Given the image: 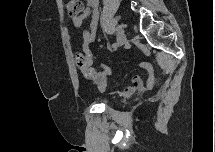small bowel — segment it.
Listing matches in <instances>:
<instances>
[{
  "mask_svg": "<svg viewBox=\"0 0 215 152\" xmlns=\"http://www.w3.org/2000/svg\"><path fill=\"white\" fill-rule=\"evenodd\" d=\"M85 8L83 9V12L80 15L73 16L71 18L73 27L79 29L82 27L84 20L89 17L90 18V24L89 28L87 30L83 31L82 37V49L84 52H90V46L95 42L96 35H97V27H98V19H99V2L98 0H86ZM92 63V58L89 60L88 64L90 65ZM150 72V77L148 80V88H152L154 86V79L152 76V70L151 68H148ZM82 73L84 76L94 82L98 89L100 91H104L106 88L107 80L111 76V68L107 64H101V69L96 72L95 74L88 76L85 75V71L82 70ZM144 89V83L140 76L135 75L132 78L131 84L127 87H125L122 90L121 95L123 97H130L137 91H142Z\"/></svg>",
  "mask_w": 215,
  "mask_h": 152,
  "instance_id": "c3829d8e",
  "label": "small bowel"
}]
</instances>
